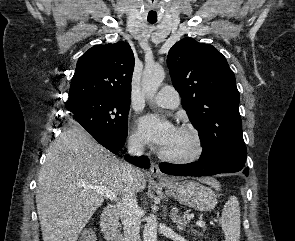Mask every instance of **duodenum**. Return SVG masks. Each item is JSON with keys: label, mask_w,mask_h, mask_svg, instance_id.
Listing matches in <instances>:
<instances>
[{"label": "duodenum", "mask_w": 295, "mask_h": 241, "mask_svg": "<svg viewBox=\"0 0 295 241\" xmlns=\"http://www.w3.org/2000/svg\"><path fill=\"white\" fill-rule=\"evenodd\" d=\"M118 213L114 206H107L101 217V229L107 241H124L118 228Z\"/></svg>", "instance_id": "1"}]
</instances>
